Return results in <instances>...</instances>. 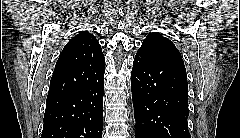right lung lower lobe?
I'll use <instances>...</instances> for the list:
<instances>
[{"label":"right lung lower lobe","mask_w":240,"mask_h":138,"mask_svg":"<svg viewBox=\"0 0 240 138\" xmlns=\"http://www.w3.org/2000/svg\"><path fill=\"white\" fill-rule=\"evenodd\" d=\"M104 75L94 84L47 98L41 138H102Z\"/></svg>","instance_id":"1"}]
</instances>
